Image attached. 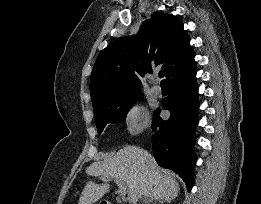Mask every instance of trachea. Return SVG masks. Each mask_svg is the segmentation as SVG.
Instances as JSON below:
<instances>
[{"instance_id":"1","label":"trachea","mask_w":261,"mask_h":204,"mask_svg":"<svg viewBox=\"0 0 261 204\" xmlns=\"http://www.w3.org/2000/svg\"><path fill=\"white\" fill-rule=\"evenodd\" d=\"M158 75H159V78H163V75H164V74H163V72L161 71V72H159ZM161 83H162V84H165L166 81H165V80H162Z\"/></svg>"}]
</instances>
